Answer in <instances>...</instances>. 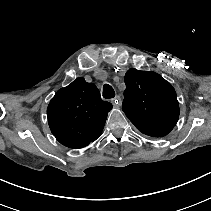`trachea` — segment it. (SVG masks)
<instances>
[{
	"label": "trachea",
	"instance_id": "trachea-1",
	"mask_svg": "<svg viewBox=\"0 0 211 211\" xmlns=\"http://www.w3.org/2000/svg\"><path fill=\"white\" fill-rule=\"evenodd\" d=\"M114 96H115V91L112 88V86H110L109 84H105L103 86V97L105 99H111L114 98Z\"/></svg>",
	"mask_w": 211,
	"mask_h": 211
}]
</instances>
